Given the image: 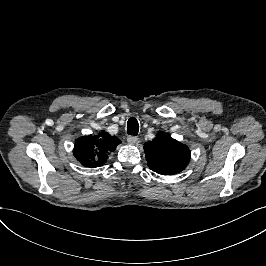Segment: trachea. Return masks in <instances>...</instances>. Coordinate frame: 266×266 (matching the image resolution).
I'll use <instances>...</instances> for the list:
<instances>
[{
  "label": "trachea",
  "mask_w": 266,
  "mask_h": 266,
  "mask_svg": "<svg viewBox=\"0 0 266 266\" xmlns=\"http://www.w3.org/2000/svg\"><path fill=\"white\" fill-rule=\"evenodd\" d=\"M139 131V125L135 118H130L127 122V133L136 136Z\"/></svg>",
  "instance_id": "obj_1"
}]
</instances>
